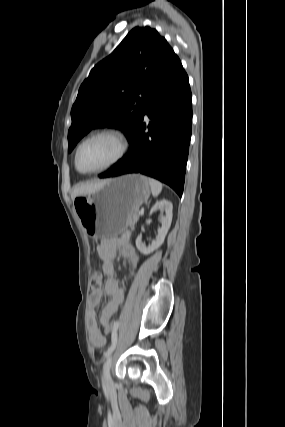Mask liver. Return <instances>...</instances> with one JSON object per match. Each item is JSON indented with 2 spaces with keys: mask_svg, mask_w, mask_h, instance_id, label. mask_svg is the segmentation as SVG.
<instances>
[{
  "mask_svg": "<svg viewBox=\"0 0 285 427\" xmlns=\"http://www.w3.org/2000/svg\"><path fill=\"white\" fill-rule=\"evenodd\" d=\"M107 182L108 180H98L94 182L77 184L72 189L71 198L74 200V198L77 196L92 194L102 188Z\"/></svg>",
  "mask_w": 285,
  "mask_h": 427,
  "instance_id": "liver-1",
  "label": "liver"
}]
</instances>
